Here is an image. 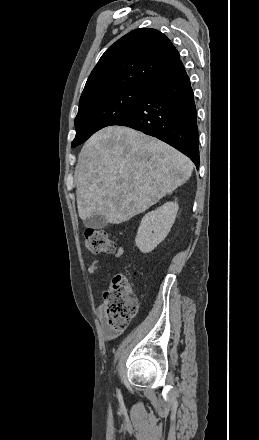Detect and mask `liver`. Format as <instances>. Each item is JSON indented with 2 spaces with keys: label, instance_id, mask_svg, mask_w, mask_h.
Segmentation results:
<instances>
[{
  "label": "liver",
  "instance_id": "liver-1",
  "mask_svg": "<svg viewBox=\"0 0 259 440\" xmlns=\"http://www.w3.org/2000/svg\"><path fill=\"white\" fill-rule=\"evenodd\" d=\"M192 161L165 142L124 126H108L83 146L76 167L80 218L119 224L186 183Z\"/></svg>",
  "mask_w": 259,
  "mask_h": 440
}]
</instances>
